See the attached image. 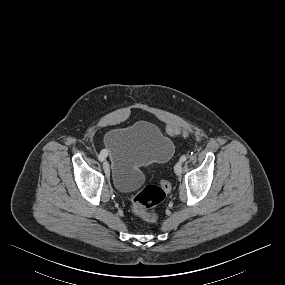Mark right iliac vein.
Returning a JSON list of instances; mask_svg holds the SVG:
<instances>
[{
    "label": "right iliac vein",
    "mask_w": 285,
    "mask_h": 285,
    "mask_svg": "<svg viewBox=\"0 0 285 285\" xmlns=\"http://www.w3.org/2000/svg\"><path fill=\"white\" fill-rule=\"evenodd\" d=\"M103 169H104V171H105L106 174L109 173V164H108L107 161H104V163H103Z\"/></svg>",
    "instance_id": "63e3f726"
}]
</instances>
